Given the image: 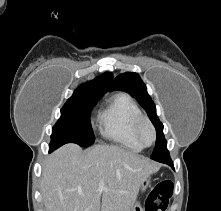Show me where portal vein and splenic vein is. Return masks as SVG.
<instances>
[{"instance_id":"1","label":"portal vein and splenic vein","mask_w":221,"mask_h":211,"mask_svg":"<svg viewBox=\"0 0 221 211\" xmlns=\"http://www.w3.org/2000/svg\"><path fill=\"white\" fill-rule=\"evenodd\" d=\"M105 189V184H104V182L103 181H101L100 183H99V190H104Z\"/></svg>"}]
</instances>
